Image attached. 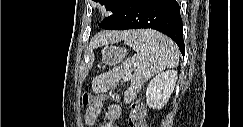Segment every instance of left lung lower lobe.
<instances>
[{
  "label": "left lung lower lobe",
  "instance_id": "0a47b994",
  "mask_svg": "<svg viewBox=\"0 0 243 127\" xmlns=\"http://www.w3.org/2000/svg\"><path fill=\"white\" fill-rule=\"evenodd\" d=\"M113 13L103 29L152 28L172 38L184 55L182 19L176 0H124Z\"/></svg>",
  "mask_w": 243,
  "mask_h": 127
}]
</instances>
